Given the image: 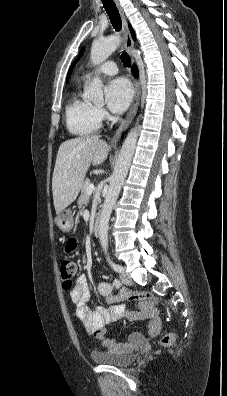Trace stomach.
Instances as JSON below:
<instances>
[{"label":"stomach","mask_w":227,"mask_h":396,"mask_svg":"<svg viewBox=\"0 0 227 396\" xmlns=\"http://www.w3.org/2000/svg\"><path fill=\"white\" fill-rule=\"evenodd\" d=\"M55 223L60 230L67 232L73 227L72 212L70 209L63 210L57 214L55 218Z\"/></svg>","instance_id":"obj_1"}]
</instances>
